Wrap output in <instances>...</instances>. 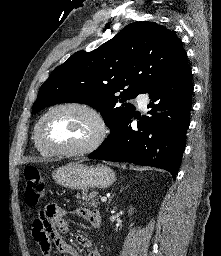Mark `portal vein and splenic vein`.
I'll list each match as a JSON object with an SVG mask.
<instances>
[{
	"label": "portal vein and splenic vein",
	"mask_w": 221,
	"mask_h": 256,
	"mask_svg": "<svg viewBox=\"0 0 221 256\" xmlns=\"http://www.w3.org/2000/svg\"><path fill=\"white\" fill-rule=\"evenodd\" d=\"M101 201L102 202H106L107 201V197H101Z\"/></svg>",
	"instance_id": "1"
}]
</instances>
